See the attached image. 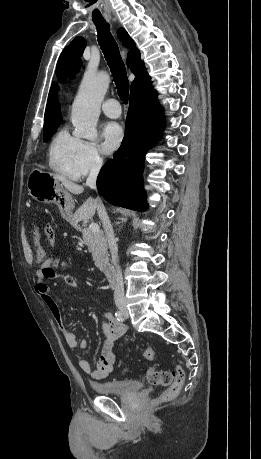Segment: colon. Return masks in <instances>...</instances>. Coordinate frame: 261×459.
Here are the masks:
<instances>
[{"mask_svg": "<svg viewBox=\"0 0 261 459\" xmlns=\"http://www.w3.org/2000/svg\"><path fill=\"white\" fill-rule=\"evenodd\" d=\"M28 232L30 233V242L33 245V251L36 253V256L41 261L50 260L52 255L46 253L47 248L43 245L42 238L40 235V230L36 227L34 222H29L27 224ZM26 232L25 230L23 231ZM59 262L57 260H52L49 264L50 268L52 266L57 267ZM62 266L65 264L62 263ZM144 356L148 360H153L156 357V352L152 347H148L144 351ZM147 380L152 385L168 387V389L160 396L161 401H168L175 398L182 389L184 383V372L180 367H176L173 371L168 370H158L154 367H151L147 370L146 373Z\"/></svg>", "mask_w": 261, "mask_h": 459, "instance_id": "obj_1", "label": "colon"}]
</instances>
